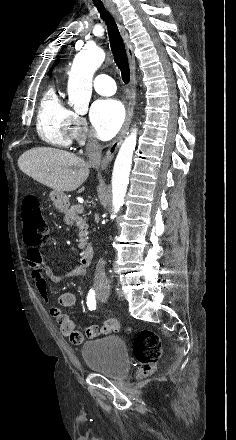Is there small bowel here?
<instances>
[{"mask_svg":"<svg viewBox=\"0 0 236 440\" xmlns=\"http://www.w3.org/2000/svg\"><path fill=\"white\" fill-rule=\"evenodd\" d=\"M26 257L31 270V276L35 280L36 288L46 302L49 301V281L58 284L74 277H81L85 274V270L82 267H77L64 275L55 274L52 269L44 263L40 250L35 246H28ZM75 300L74 293L63 292L58 297V304L61 307H71L75 304ZM50 315L58 323L61 334L68 337L70 342L74 345H80L84 341L85 336L89 338L99 336L104 339H111L119 325L115 319L99 321L98 324H91L84 335L75 329L71 317L63 313L60 307L52 306L50 308Z\"/></svg>","mask_w":236,"mask_h":440,"instance_id":"obj_1","label":"small bowel"}]
</instances>
